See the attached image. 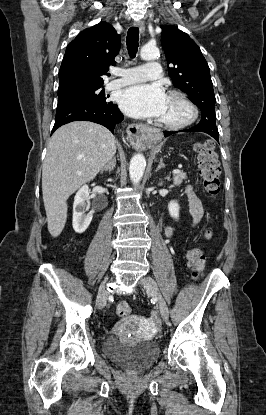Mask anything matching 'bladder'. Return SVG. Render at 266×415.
Returning <instances> with one entry per match:
<instances>
[{"instance_id":"31cf9c89","label":"bladder","mask_w":266,"mask_h":415,"mask_svg":"<svg viewBox=\"0 0 266 415\" xmlns=\"http://www.w3.org/2000/svg\"><path fill=\"white\" fill-rule=\"evenodd\" d=\"M104 354L133 372L149 368L159 357L160 349L153 340H140L134 344H126L119 337L112 335L103 343Z\"/></svg>"}]
</instances>
